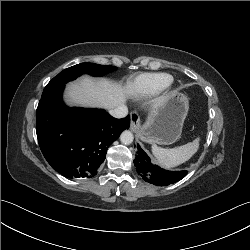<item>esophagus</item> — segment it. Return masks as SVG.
<instances>
[{"instance_id":"obj_1","label":"esophagus","mask_w":250,"mask_h":250,"mask_svg":"<svg viewBox=\"0 0 250 250\" xmlns=\"http://www.w3.org/2000/svg\"><path fill=\"white\" fill-rule=\"evenodd\" d=\"M130 118H131L130 129L133 132H137L140 128V116L137 112H132L130 114Z\"/></svg>"}]
</instances>
